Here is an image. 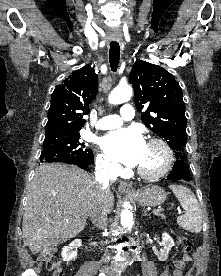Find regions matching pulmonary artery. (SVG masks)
Segmentation results:
<instances>
[{
    "label": "pulmonary artery",
    "instance_id": "e3ab8cb5",
    "mask_svg": "<svg viewBox=\"0 0 221 276\" xmlns=\"http://www.w3.org/2000/svg\"><path fill=\"white\" fill-rule=\"evenodd\" d=\"M134 117V109L130 104H124L120 108L119 115H109L101 118L97 123V127L102 130L114 129L129 121Z\"/></svg>",
    "mask_w": 221,
    "mask_h": 276
}]
</instances>
